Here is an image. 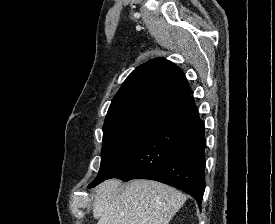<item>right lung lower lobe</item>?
I'll use <instances>...</instances> for the list:
<instances>
[{
	"label": "right lung lower lobe",
	"mask_w": 275,
	"mask_h": 224,
	"mask_svg": "<svg viewBox=\"0 0 275 224\" xmlns=\"http://www.w3.org/2000/svg\"><path fill=\"white\" fill-rule=\"evenodd\" d=\"M205 146L204 122L189 96L163 114L109 178L159 181L188 193L200 207L205 190Z\"/></svg>",
	"instance_id": "right-lung-lower-lobe-1"
}]
</instances>
